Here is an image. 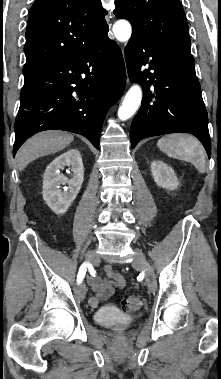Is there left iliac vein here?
I'll use <instances>...</instances> for the list:
<instances>
[{"label": "left iliac vein", "mask_w": 221, "mask_h": 379, "mask_svg": "<svg viewBox=\"0 0 221 379\" xmlns=\"http://www.w3.org/2000/svg\"><path fill=\"white\" fill-rule=\"evenodd\" d=\"M132 266L136 269L144 270L147 287L149 291L154 292L157 286L154 270L146 261L143 252L139 249H135Z\"/></svg>", "instance_id": "4c4485c4"}]
</instances>
